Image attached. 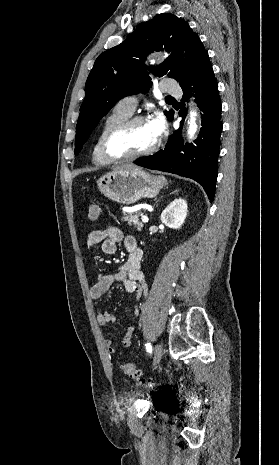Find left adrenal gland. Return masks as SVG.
Wrapping results in <instances>:
<instances>
[{"label":"left adrenal gland","instance_id":"1","mask_svg":"<svg viewBox=\"0 0 279 465\" xmlns=\"http://www.w3.org/2000/svg\"><path fill=\"white\" fill-rule=\"evenodd\" d=\"M172 193H178V190L173 191ZM159 202V200L156 202V204Z\"/></svg>","mask_w":279,"mask_h":465}]
</instances>
